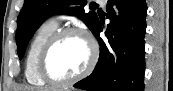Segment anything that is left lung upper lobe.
Listing matches in <instances>:
<instances>
[{
	"mask_svg": "<svg viewBox=\"0 0 173 91\" xmlns=\"http://www.w3.org/2000/svg\"><path fill=\"white\" fill-rule=\"evenodd\" d=\"M86 0H24V6L18 16L16 31L17 52L22 58L26 46L40 24L55 12L76 15L93 32L99 21L95 12L85 13Z\"/></svg>",
	"mask_w": 173,
	"mask_h": 91,
	"instance_id": "obj_1",
	"label": "left lung upper lobe"
}]
</instances>
